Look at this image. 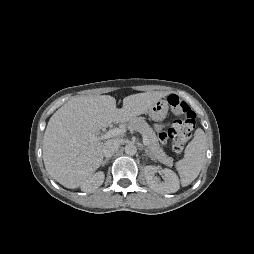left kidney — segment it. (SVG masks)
Returning <instances> with one entry per match:
<instances>
[{"instance_id": "left-kidney-1", "label": "left kidney", "mask_w": 254, "mask_h": 254, "mask_svg": "<svg viewBox=\"0 0 254 254\" xmlns=\"http://www.w3.org/2000/svg\"><path fill=\"white\" fill-rule=\"evenodd\" d=\"M157 172L164 174L165 182H161L155 177ZM144 175L148 186L157 193H174L179 189V178L170 169H161L159 167L149 165L144 168Z\"/></svg>"}]
</instances>
